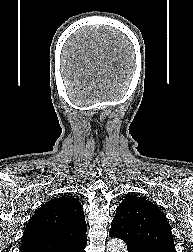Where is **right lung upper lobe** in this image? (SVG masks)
<instances>
[{"instance_id":"right-lung-upper-lobe-1","label":"right lung upper lobe","mask_w":193,"mask_h":252,"mask_svg":"<svg viewBox=\"0 0 193 252\" xmlns=\"http://www.w3.org/2000/svg\"><path fill=\"white\" fill-rule=\"evenodd\" d=\"M84 211L71 196L53 198L29 220L20 252H71L87 243Z\"/></svg>"}]
</instances>
